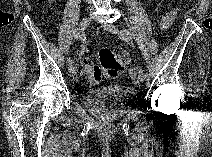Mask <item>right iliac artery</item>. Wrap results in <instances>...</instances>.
<instances>
[{
  "mask_svg": "<svg viewBox=\"0 0 212 157\" xmlns=\"http://www.w3.org/2000/svg\"><path fill=\"white\" fill-rule=\"evenodd\" d=\"M74 39H75V40H78V39H79L78 34H75V35H74ZM67 63H68V65H70V64L73 63L70 57L67 58Z\"/></svg>",
  "mask_w": 212,
  "mask_h": 157,
  "instance_id": "obj_1",
  "label": "right iliac artery"
}]
</instances>
